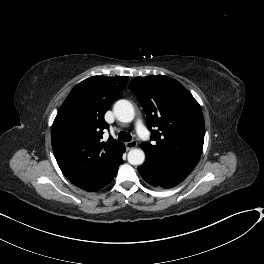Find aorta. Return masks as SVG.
<instances>
[{
  "mask_svg": "<svg viewBox=\"0 0 264 264\" xmlns=\"http://www.w3.org/2000/svg\"><path fill=\"white\" fill-rule=\"evenodd\" d=\"M116 118L124 123L134 119L135 111L133 105L128 100H119L113 107ZM128 162L132 165H141L145 161V153L142 149H132L127 155Z\"/></svg>",
  "mask_w": 264,
  "mask_h": 264,
  "instance_id": "762f6f07",
  "label": "aorta"
}]
</instances>
